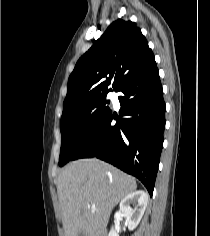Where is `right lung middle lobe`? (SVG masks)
<instances>
[{
	"label": "right lung middle lobe",
	"instance_id": "obj_1",
	"mask_svg": "<svg viewBox=\"0 0 210 236\" xmlns=\"http://www.w3.org/2000/svg\"><path fill=\"white\" fill-rule=\"evenodd\" d=\"M106 95H100L82 102L75 109L62 114L60 130L62 143L59 165L70 161L92 132L98 127L110 108L106 106Z\"/></svg>",
	"mask_w": 210,
	"mask_h": 236
}]
</instances>
